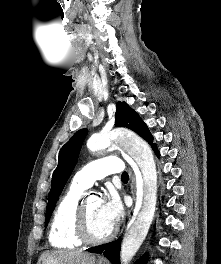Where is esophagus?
<instances>
[{
	"label": "esophagus",
	"instance_id": "34e87169",
	"mask_svg": "<svg viewBox=\"0 0 221 264\" xmlns=\"http://www.w3.org/2000/svg\"><path fill=\"white\" fill-rule=\"evenodd\" d=\"M129 172H130V186H131V189H132V194H133V196H134V194H135V190H134V176H133L131 170H130ZM132 210H133V207H132ZM99 260H100L101 262H104V261H105V258H104L103 256H100V257H99Z\"/></svg>",
	"mask_w": 221,
	"mask_h": 264
}]
</instances>
